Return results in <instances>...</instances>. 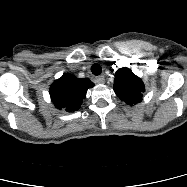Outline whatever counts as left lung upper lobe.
Wrapping results in <instances>:
<instances>
[{"label":"left lung upper lobe","mask_w":187,"mask_h":187,"mask_svg":"<svg viewBox=\"0 0 187 187\" xmlns=\"http://www.w3.org/2000/svg\"><path fill=\"white\" fill-rule=\"evenodd\" d=\"M114 91L121 100L132 106L141 102L144 84L129 68H121L115 73Z\"/></svg>","instance_id":"left-lung-upper-lobe-1"}]
</instances>
